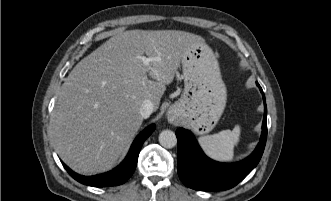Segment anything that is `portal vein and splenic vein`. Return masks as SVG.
I'll list each match as a JSON object with an SVG mask.
<instances>
[{
    "instance_id": "portal-vein-and-splenic-vein-1",
    "label": "portal vein and splenic vein",
    "mask_w": 331,
    "mask_h": 201,
    "mask_svg": "<svg viewBox=\"0 0 331 201\" xmlns=\"http://www.w3.org/2000/svg\"><path fill=\"white\" fill-rule=\"evenodd\" d=\"M141 59H142L143 63L147 66L150 64V62L158 60V58H156V57H145V56H142Z\"/></svg>"
}]
</instances>
